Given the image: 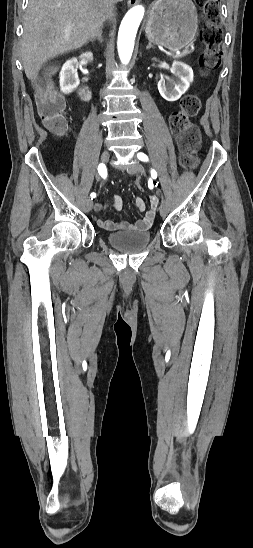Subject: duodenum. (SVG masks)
<instances>
[{
	"instance_id": "1",
	"label": "duodenum",
	"mask_w": 253,
	"mask_h": 548,
	"mask_svg": "<svg viewBox=\"0 0 253 548\" xmlns=\"http://www.w3.org/2000/svg\"><path fill=\"white\" fill-rule=\"evenodd\" d=\"M79 93L85 99H89L91 97V89L87 85H81L79 87Z\"/></svg>"
}]
</instances>
